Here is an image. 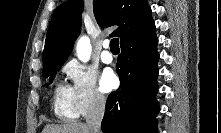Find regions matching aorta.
Returning <instances> with one entry per match:
<instances>
[{"instance_id":"762f6f07","label":"aorta","mask_w":221,"mask_h":133,"mask_svg":"<svg viewBox=\"0 0 221 133\" xmlns=\"http://www.w3.org/2000/svg\"><path fill=\"white\" fill-rule=\"evenodd\" d=\"M76 52H77V57L81 61L87 62L90 59L91 44H90V39L87 36H83L78 40Z\"/></svg>"}]
</instances>
